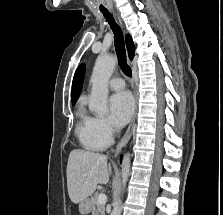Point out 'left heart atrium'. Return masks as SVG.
<instances>
[{"mask_svg": "<svg viewBox=\"0 0 223 215\" xmlns=\"http://www.w3.org/2000/svg\"><path fill=\"white\" fill-rule=\"evenodd\" d=\"M109 106L112 121L117 126H123L132 115L134 102L129 92L121 91L110 97Z\"/></svg>", "mask_w": 223, "mask_h": 215, "instance_id": "obj_1", "label": "left heart atrium"}]
</instances>
